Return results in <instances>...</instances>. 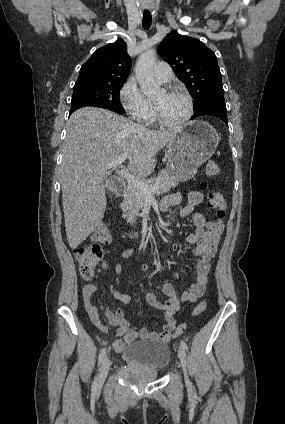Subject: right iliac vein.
Returning <instances> with one entry per match:
<instances>
[{"label": "right iliac vein", "instance_id": "obj_1", "mask_svg": "<svg viewBox=\"0 0 285 424\" xmlns=\"http://www.w3.org/2000/svg\"><path fill=\"white\" fill-rule=\"evenodd\" d=\"M110 365H111L110 359L108 357H105L103 362H102L101 368H100V374H99V379H98L99 383H104V381H105V379L108 375Z\"/></svg>", "mask_w": 285, "mask_h": 424}]
</instances>
